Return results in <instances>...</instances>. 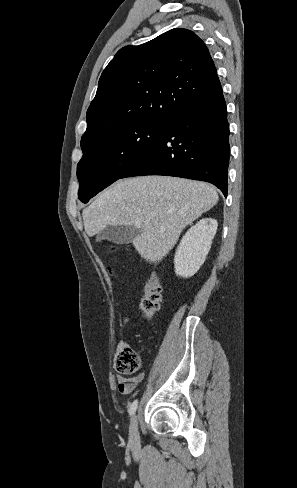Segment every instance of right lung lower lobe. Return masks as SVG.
<instances>
[{
  "mask_svg": "<svg viewBox=\"0 0 297 488\" xmlns=\"http://www.w3.org/2000/svg\"><path fill=\"white\" fill-rule=\"evenodd\" d=\"M229 124L222 89L171 119L121 178L166 175L206 181L227 196Z\"/></svg>",
  "mask_w": 297,
  "mask_h": 488,
  "instance_id": "obj_1",
  "label": "right lung lower lobe"
}]
</instances>
